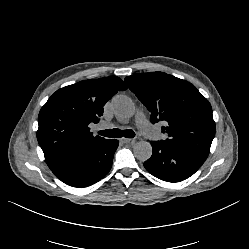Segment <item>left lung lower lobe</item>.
Masks as SVG:
<instances>
[{
  "label": "left lung lower lobe",
  "mask_w": 249,
  "mask_h": 249,
  "mask_svg": "<svg viewBox=\"0 0 249 249\" xmlns=\"http://www.w3.org/2000/svg\"><path fill=\"white\" fill-rule=\"evenodd\" d=\"M153 153L144 162L146 170L155 177L168 182H179L193 175L207 159L208 155L168 145L161 141H151Z\"/></svg>",
  "instance_id": "left-lung-lower-lobe-1"
}]
</instances>
